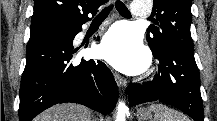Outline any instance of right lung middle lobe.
I'll use <instances>...</instances> for the list:
<instances>
[{"label": "right lung middle lobe", "mask_w": 217, "mask_h": 121, "mask_svg": "<svg viewBox=\"0 0 217 121\" xmlns=\"http://www.w3.org/2000/svg\"><path fill=\"white\" fill-rule=\"evenodd\" d=\"M75 26V24H70L58 20H43L33 22L31 23L30 39L56 32L72 31Z\"/></svg>", "instance_id": "right-lung-middle-lobe-1"}]
</instances>
